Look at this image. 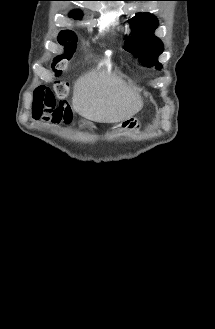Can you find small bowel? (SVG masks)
<instances>
[{"mask_svg":"<svg viewBox=\"0 0 215 329\" xmlns=\"http://www.w3.org/2000/svg\"><path fill=\"white\" fill-rule=\"evenodd\" d=\"M31 116L34 120L39 121L44 124L56 125L60 123H67L71 118V113L69 114H32Z\"/></svg>","mask_w":215,"mask_h":329,"instance_id":"c3829d8e","label":"small bowel"}]
</instances>
